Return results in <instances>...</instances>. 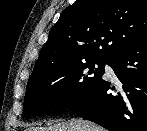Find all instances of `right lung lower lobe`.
Instances as JSON below:
<instances>
[{
	"label": "right lung lower lobe",
	"mask_w": 147,
	"mask_h": 131,
	"mask_svg": "<svg viewBox=\"0 0 147 131\" xmlns=\"http://www.w3.org/2000/svg\"><path fill=\"white\" fill-rule=\"evenodd\" d=\"M108 65L118 83L101 79L69 109L109 131H147V37L119 51Z\"/></svg>",
	"instance_id": "1"
}]
</instances>
